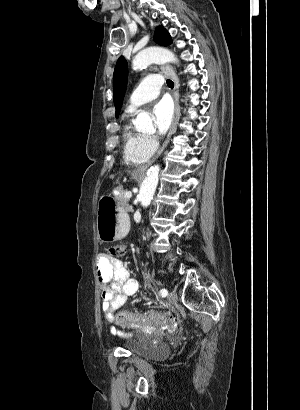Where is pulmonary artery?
<instances>
[{
  "label": "pulmonary artery",
  "instance_id": "pulmonary-artery-1",
  "mask_svg": "<svg viewBox=\"0 0 300 410\" xmlns=\"http://www.w3.org/2000/svg\"><path fill=\"white\" fill-rule=\"evenodd\" d=\"M162 83L161 77L157 74L145 77L131 94L127 111L133 112L144 103L156 98L160 93Z\"/></svg>",
  "mask_w": 300,
  "mask_h": 410
}]
</instances>
